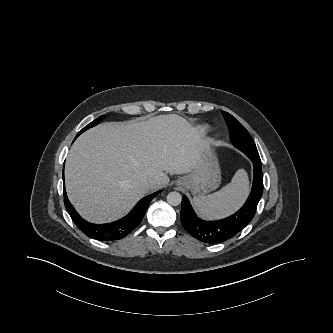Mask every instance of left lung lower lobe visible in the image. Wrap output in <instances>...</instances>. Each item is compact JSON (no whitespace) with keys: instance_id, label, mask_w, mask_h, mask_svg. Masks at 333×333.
Listing matches in <instances>:
<instances>
[{"instance_id":"left-lung-lower-lobe-1","label":"left lung lower lobe","mask_w":333,"mask_h":333,"mask_svg":"<svg viewBox=\"0 0 333 333\" xmlns=\"http://www.w3.org/2000/svg\"><path fill=\"white\" fill-rule=\"evenodd\" d=\"M253 162L254 176L251 193L235 214L222 220L204 221L198 218L184 195L182 198L181 223L194 238L210 244L224 242L240 232L253 219L263 192V174L259 154L247 155Z\"/></svg>"}]
</instances>
